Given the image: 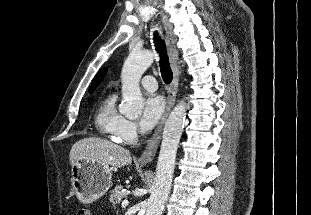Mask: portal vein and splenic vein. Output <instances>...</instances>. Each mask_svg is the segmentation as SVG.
Listing matches in <instances>:
<instances>
[{
    "label": "portal vein and splenic vein",
    "instance_id": "obj_1",
    "mask_svg": "<svg viewBox=\"0 0 311 215\" xmlns=\"http://www.w3.org/2000/svg\"><path fill=\"white\" fill-rule=\"evenodd\" d=\"M128 200H124L123 202H122V207H126L127 205H128Z\"/></svg>",
    "mask_w": 311,
    "mask_h": 215
}]
</instances>
